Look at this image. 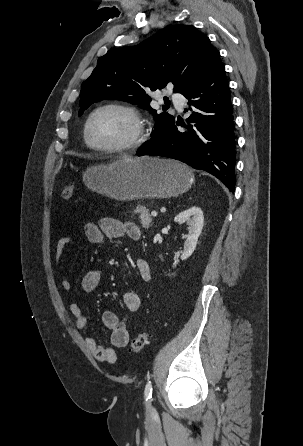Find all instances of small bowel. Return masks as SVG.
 <instances>
[{
	"mask_svg": "<svg viewBox=\"0 0 303 446\" xmlns=\"http://www.w3.org/2000/svg\"><path fill=\"white\" fill-rule=\"evenodd\" d=\"M85 237L91 244H101L104 239H120L129 237L137 240L140 237L139 227L132 222H124L116 218L105 217L100 220L98 224L87 223L84 227ZM72 243V238L69 236L61 237L55 245V256L60 260L65 249ZM135 266L140 278L143 281L151 279V270L146 260L139 258L135 262ZM100 283V273L96 269L88 270L82 277L81 286L85 292L95 291ZM66 290L71 288L69 280L64 279L62 282ZM122 301L125 308L131 312H137L141 308V299L135 291H127L122 296ZM70 311L75 319L76 325L79 329H85L87 326V318L82 308L72 303ZM103 325L110 330V340L115 348H123L129 341V331L127 325L122 322L119 316L113 311H105L102 314ZM88 349L93 356L102 362L114 363L117 360V354L114 348L100 345L97 340L89 336L85 339Z\"/></svg>",
	"mask_w": 303,
	"mask_h": 446,
	"instance_id": "1",
	"label": "small bowel"
}]
</instances>
